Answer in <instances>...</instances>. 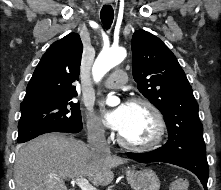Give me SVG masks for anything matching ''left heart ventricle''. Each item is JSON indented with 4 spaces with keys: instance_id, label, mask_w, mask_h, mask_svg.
Wrapping results in <instances>:
<instances>
[{
    "instance_id": "b2bd125f",
    "label": "left heart ventricle",
    "mask_w": 221,
    "mask_h": 190,
    "mask_svg": "<svg viewBox=\"0 0 221 190\" xmlns=\"http://www.w3.org/2000/svg\"><path fill=\"white\" fill-rule=\"evenodd\" d=\"M154 131V120L150 111L139 105H129L128 121L120 131L122 136L134 143L150 140Z\"/></svg>"
}]
</instances>
